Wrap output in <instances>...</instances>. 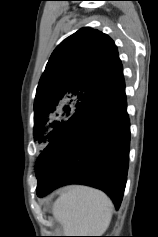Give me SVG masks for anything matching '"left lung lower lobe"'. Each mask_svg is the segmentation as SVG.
I'll return each mask as SVG.
<instances>
[{
	"mask_svg": "<svg viewBox=\"0 0 158 237\" xmlns=\"http://www.w3.org/2000/svg\"><path fill=\"white\" fill-rule=\"evenodd\" d=\"M130 146L124 80L100 92L61 127L36 162L37 195L67 184L106 192L118 209L125 189Z\"/></svg>",
	"mask_w": 158,
	"mask_h": 237,
	"instance_id": "0a47b994",
	"label": "left lung lower lobe"
}]
</instances>
